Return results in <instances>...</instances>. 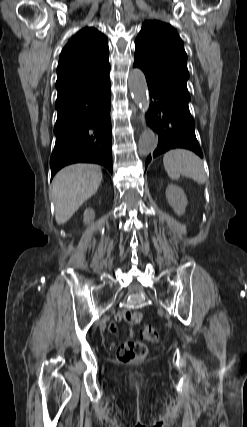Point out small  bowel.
Listing matches in <instances>:
<instances>
[{
  "label": "small bowel",
  "mask_w": 247,
  "mask_h": 427,
  "mask_svg": "<svg viewBox=\"0 0 247 427\" xmlns=\"http://www.w3.org/2000/svg\"><path fill=\"white\" fill-rule=\"evenodd\" d=\"M143 314L141 312H132L130 310H122L119 311L114 320L109 324L108 330L112 334H116L118 330V323L126 321L131 325L138 324L142 319ZM131 336H133V332H131Z\"/></svg>",
  "instance_id": "c3829d8e"
}]
</instances>
